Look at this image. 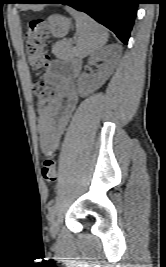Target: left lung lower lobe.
Here are the masks:
<instances>
[{"mask_svg":"<svg viewBox=\"0 0 166 267\" xmlns=\"http://www.w3.org/2000/svg\"><path fill=\"white\" fill-rule=\"evenodd\" d=\"M22 3H62L90 15L128 43L139 0H24Z\"/></svg>","mask_w":166,"mask_h":267,"instance_id":"1","label":"left lung lower lobe"}]
</instances>
